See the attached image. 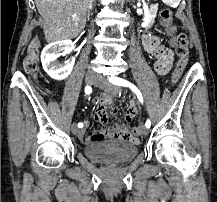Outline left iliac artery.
Returning <instances> with one entry per match:
<instances>
[{"label": "left iliac artery", "instance_id": "left-iliac-artery-1", "mask_svg": "<svg viewBox=\"0 0 217 202\" xmlns=\"http://www.w3.org/2000/svg\"><path fill=\"white\" fill-rule=\"evenodd\" d=\"M109 81L114 85L129 87L133 92H135L139 101L141 103H143V96H142L140 90L134 84H132L129 81L124 80L122 78H114V79L110 78ZM145 126L147 128H149L151 126V121L149 119L146 121Z\"/></svg>", "mask_w": 217, "mask_h": 202}]
</instances>
